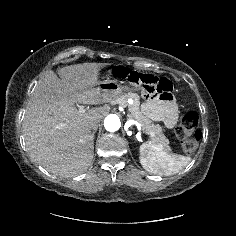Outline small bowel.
Wrapping results in <instances>:
<instances>
[{"label":"small bowel","mask_w":236,"mask_h":236,"mask_svg":"<svg viewBox=\"0 0 236 236\" xmlns=\"http://www.w3.org/2000/svg\"><path fill=\"white\" fill-rule=\"evenodd\" d=\"M145 106L153 119L163 121L168 128H173L176 124L178 113L172 100L162 97L147 101Z\"/></svg>","instance_id":"obj_1"}]
</instances>
